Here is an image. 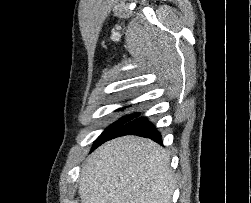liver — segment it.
I'll return each mask as SVG.
<instances>
[{"instance_id": "1", "label": "liver", "mask_w": 251, "mask_h": 203, "mask_svg": "<svg viewBox=\"0 0 251 203\" xmlns=\"http://www.w3.org/2000/svg\"><path fill=\"white\" fill-rule=\"evenodd\" d=\"M169 162L167 152L150 139L125 136L108 141L82 167L81 203H171Z\"/></svg>"}]
</instances>
